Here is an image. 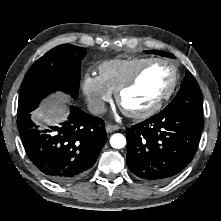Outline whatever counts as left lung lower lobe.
<instances>
[{
    "instance_id": "obj_1",
    "label": "left lung lower lobe",
    "mask_w": 221,
    "mask_h": 221,
    "mask_svg": "<svg viewBox=\"0 0 221 221\" xmlns=\"http://www.w3.org/2000/svg\"><path fill=\"white\" fill-rule=\"evenodd\" d=\"M203 118L167 106L126 130L127 165L138 178L162 183L179 174L194 157Z\"/></svg>"
}]
</instances>
